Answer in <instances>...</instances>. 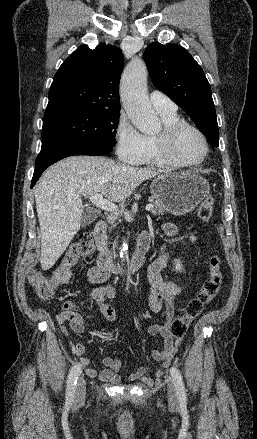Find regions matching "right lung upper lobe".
Returning <instances> with one entry per match:
<instances>
[{"label": "right lung upper lobe", "instance_id": "1", "mask_svg": "<svg viewBox=\"0 0 257 439\" xmlns=\"http://www.w3.org/2000/svg\"><path fill=\"white\" fill-rule=\"evenodd\" d=\"M122 66L123 56L116 46L79 47L54 76L44 118L77 109L120 110Z\"/></svg>", "mask_w": 257, "mask_h": 439}]
</instances>
